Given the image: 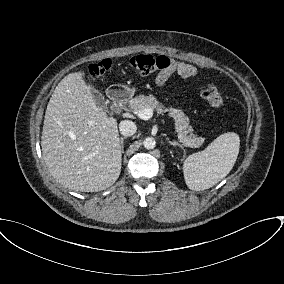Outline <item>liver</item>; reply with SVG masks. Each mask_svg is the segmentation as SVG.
I'll return each mask as SVG.
<instances>
[{"mask_svg":"<svg viewBox=\"0 0 284 284\" xmlns=\"http://www.w3.org/2000/svg\"><path fill=\"white\" fill-rule=\"evenodd\" d=\"M50 174L73 191L98 192L121 172L117 120L96 106L82 72L70 73L47 105L41 136Z\"/></svg>","mask_w":284,"mask_h":284,"instance_id":"1","label":"liver"}]
</instances>
